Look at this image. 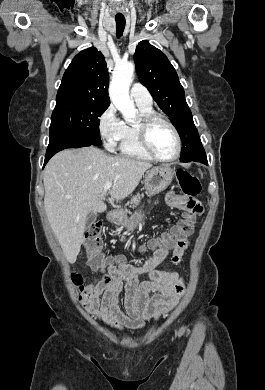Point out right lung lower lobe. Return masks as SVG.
Here are the masks:
<instances>
[{
	"label": "right lung lower lobe",
	"mask_w": 265,
	"mask_h": 390,
	"mask_svg": "<svg viewBox=\"0 0 265 390\" xmlns=\"http://www.w3.org/2000/svg\"><path fill=\"white\" fill-rule=\"evenodd\" d=\"M91 145H95V144L88 141L72 138V137H55L53 139H50L46 151L44 166L54 154H56L57 152L63 149L80 148V147H86Z\"/></svg>",
	"instance_id": "obj_1"
}]
</instances>
